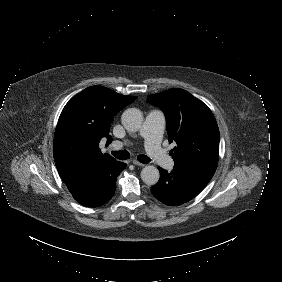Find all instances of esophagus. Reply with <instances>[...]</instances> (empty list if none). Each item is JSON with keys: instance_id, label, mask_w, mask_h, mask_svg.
Segmentation results:
<instances>
[{"instance_id": "esophagus-1", "label": "esophagus", "mask_w": 282, "mask_h": 282, "mask_svg": "<svg viewBox=\"0 0 282 282\" xmlns=\"http://www.w3.org/2000/svg\"><path fill=\"white\" fill-rule=\"evenodd\" d=\"M132 163L134 164V165H137V166H145V164L144 163H141V162H139V161H137V160H132Z\"/></svg>"}]
</instances>
